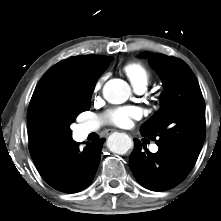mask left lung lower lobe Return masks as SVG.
<instances>
[{
	"instance_id": "0a47b994",
	"label": "left lung lower lobe",
	"mask_w": 221,
	"mask_h": 221,
	"mask_svg": "<svg viewBox=\"0 0 221 221\" xmlns=\"http://www.w3.org/2000/svg\"><path fill=\"white\" fill-rule=\"evenodd\" d=\"M134 141L135 149L129 166L135 178L145 188L152 191L171 189L183 181L191 171L192 167L174 152L159 147L158 152L151 153L138 139Z\"/></svg>"
}]
</instances>
